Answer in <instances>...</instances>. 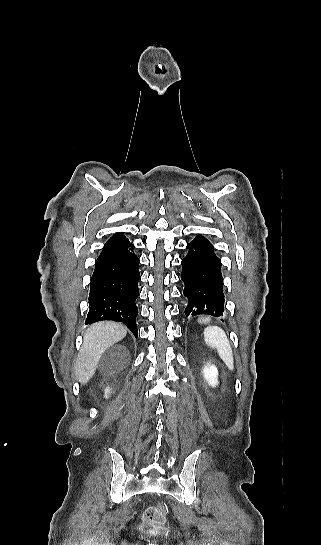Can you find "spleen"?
Here are the masks:
<instances>
[{
  "label": "spleen",
  "mask_w": 321,
  "mask_h": 545,
  "mask_svg": "<svg viewBox=\"0 0 321 545\" xmlns=\"http://www.w3.org/2000/svg\"><path fill=\"white\" fill-rule=\"evenodd\" d=\"M204 341L208 347L216 349L220 359L224 361L226 367L233 371L234 357L231 345L226 333L220 327H206L203 331Z\"/></svg>",
  "instance_id": "1"
}]
</instances>
